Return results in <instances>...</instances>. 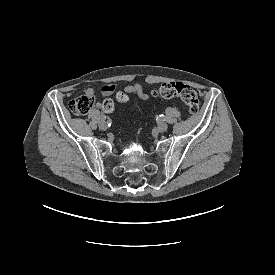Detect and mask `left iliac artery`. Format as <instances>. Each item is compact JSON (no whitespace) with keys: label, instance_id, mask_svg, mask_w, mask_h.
<instances>
[{"label":"left iliac artery","instance_id":"1","mask_svg":"<svg viewBox=\"0 0 275 275\" xmlns=\"http://www.w3.org/2000/svg\"><path fill=\"white\" fill-rule=\"evenodd\" d=\"M159 116H160L161 120H163V121L165 120V116L164 115H159Z\"/></svg>","mask_w":275,"mask_h":275}]
</instances>
